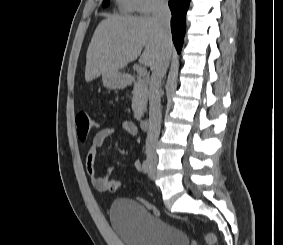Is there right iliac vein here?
<instances>
[{"mask_svg":"<svg viewBox=\"0 0 283 245\" xmlns=\"http://www.w3.org/2000/svg\"><path fill=\"white\" fill-rule=\"evenodd\" d=\"M148 163L150 164V166L154 167L156 165V160L153 157H148Z\"/></svg>","mask_w":283,"mask_h":245,"instance_id":"obj_1","label":"right iliac vein"}]
</instances>
